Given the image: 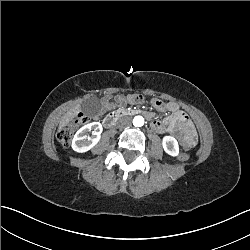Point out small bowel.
Instances as JSON below:
<instances>
[{"label":"small bowel","instance_id":"obj_1","mask_svg":"<svg viewBox=\"0 0 250 250\" xmlns=\"http://www.w3.org/2000/svg\"><path fill=\"white\" fill-rule=\"evenodd\" d=\"M133 97L134 95H118L113 98L110 95H106L101 99V110H112L118 105L124 106L127 104L137 103L133 100ZM152 103L157 109L167 110L172 114L173 119L176 121V123L173 124L172 130L177 136L183 139L186 146H188L187 141L190 139V137L194 136L196 140V133L193 126L191 125L190 120L175 103H164L159 99H154ZM151 127L156 132H163L165 129L164 124L159 120L153 121Z\"/></svg>","mask_w":250,"mask_h":250}]
</instances>
